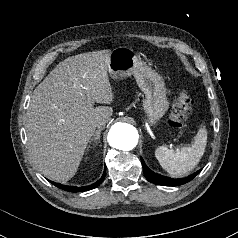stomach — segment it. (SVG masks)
Instances as JSON below:
<instances>
[{
	"instance_id": "0dacf381",
	"label": "stomach",
	"mask_w": 238,
	"mask_h": 238,
	"mask_svg": "<svg viewBox=\"0 0 238 238\" xmlns=\"http://www.w3.org/2000/svg\"><path fill=\"white\" fill-rule=\"evenodd\" d=\"M108 72L112 79L120 80L133 75L145 94L143 109L147 122L155 126L169 108L162 77L145 65L141 58L127 47L115 48L110 55Z\"/></svg>"
}]
</instances>
